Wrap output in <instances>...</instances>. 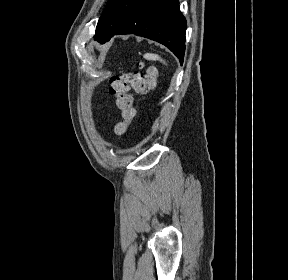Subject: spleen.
I'll list each match as a JSON object with an SVG mask.
<instances>
[{
    "label": "spleen",
    "mask_w": 288,
    "mask_h": 280,
    "mask_svg": "<svg viewBox=\"0 0 288 280\" xmlns=\"http://www.w3.org/2000/svg\"><path fill=\"white\" fill-rule=\"evenodd\" d=\"M144 58L147 60H151V61H160L163 64H166V62L157 54L146 53V54H144Z\"/></svg>",
    "instance_id": "1"
}]
</instances>
